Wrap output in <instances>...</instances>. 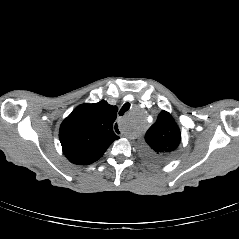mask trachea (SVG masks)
I'll return each instance as SVG.
<instances>
[{"mask_svg":"<svg viewBox=\"0 0 239 239\" xmlns=\"http://www.w3.org/2000/svg\"><path fill=\"white\" fill-rule=\"evenodd\" d=\"M130 108V103H125L121 110L119 111V115L122 116L124 113Z\"/></svg>","mask_w":239,"mask_h":239,"instance_id":"3493384b","label":"trachea"}]
</instances>
